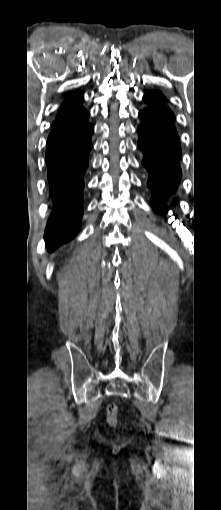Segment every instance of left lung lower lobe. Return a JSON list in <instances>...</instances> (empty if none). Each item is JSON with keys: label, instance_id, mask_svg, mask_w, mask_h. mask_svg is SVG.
Segmentation results:
<instances>
[{"label": "left lung lower lobe", "instance_id": "1", "mask_svg": "<svg viewBox=\"0 0 221 510\" xmlns=\"http://www.w3.org/2000/svg\"><path fill=\"white\" fill-rule=\"evenodd\" d=\"M139 117L138 147L144 154L142 165L149 174L147 186L152 192L151 202L165 213L169 210L165 202L175 193L181 177L178 134L162 127L143 111Z\"/></svg>", "mask_w": 221, "mask_h": 510}]
</instances>
